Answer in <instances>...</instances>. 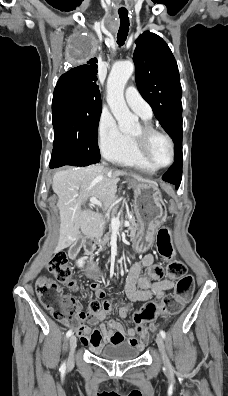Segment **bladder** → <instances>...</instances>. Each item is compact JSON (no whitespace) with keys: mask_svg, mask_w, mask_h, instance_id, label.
<instances>
[{"mask_svg":"<svg viewBox=\"0 0 228 396\" xmlns=\"http://www.w3.org/2000/svg\"><path fill=\"white\" fill-rule=\"evenodd\" d=\"M141 348L129 342H113L95 352V354L109 361H130L139 357Z\"/></svg>","mask_w":228,"mask_h":396,"instance_id":"bladder-1","label":"bladder"}]
</instances>
